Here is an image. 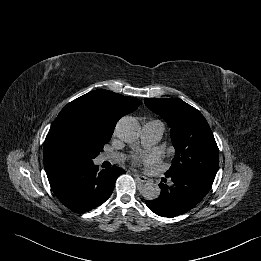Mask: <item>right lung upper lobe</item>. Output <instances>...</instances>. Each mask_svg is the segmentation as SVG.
<instances>
[{"label": "right lung upper lobe", "mask_w": 261, "mask_h": 261, "mask_svg": "<svg viewBox=\"0 0 261 261\" xmlns=\"http://www.w3.org/2000/svg\"><path fill=\"white\" fill-rule=\"evenodd\" d=\"M142 102L134 97L123 96L105 89L91 91L68 103L53 122L44 143L43 161L46 173L59 168L52 164L46 143L59 122L69 113L77 110L92 112L101 123L114 130L117 121L124 115L135 111Z\"/></svg>", "instance_id": "obj_1"}]
</instances>
